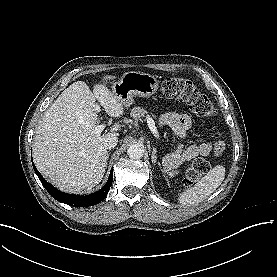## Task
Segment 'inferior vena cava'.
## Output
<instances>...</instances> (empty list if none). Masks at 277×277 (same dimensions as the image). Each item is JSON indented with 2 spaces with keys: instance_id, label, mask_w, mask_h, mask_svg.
I'll use <instances>...</instances> for the list:
<instances>
[{
  "instance_id": "obj_1",
  "label": "inferior vena cava",
  "mask_w": 277,
  "mask_h": 277,
  "mask_svg": "<svg viewBox=\"0 0 277 277\" xmlns=\"http://www.w3.org/2000/svg\"><path fill=\"white\" fill-rule=\"evenodd\" d=\"M117 143H118V138L115 136H111L105 140L104 147L106 149H112V148L116 147Z\"/></svg>"
}]
</instances>
